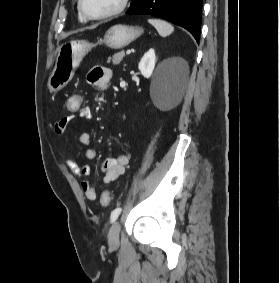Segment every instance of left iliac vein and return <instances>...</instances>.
Segmentation results:
<instances>
[{"label": "left iliac vein", "mask_w": 280, "mask_h": 283, "mask_svg": "<svg viewBox=\"0 0 280 283\" xmlns=\"http://www.w3.org/2000/svg\"><path fill=\"white\" fill-rule=\"evenodd\" d=\"M120 223L115 222L108 233V243L111 247H116L119 244Z\"/></svg>", "instance_id": "1"}]
</instances>
